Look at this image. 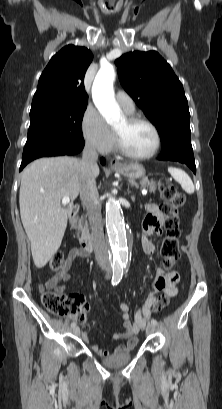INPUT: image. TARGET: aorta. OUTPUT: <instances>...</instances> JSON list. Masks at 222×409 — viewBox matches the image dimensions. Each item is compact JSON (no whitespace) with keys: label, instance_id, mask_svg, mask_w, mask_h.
<instances>
[{"label":"aorta","instance_id":"aorta-1","mask_svg":"<svg viewBox=\"0 0 222 409\" xmlns=\"http://www.w3.org/2000/svg\"><path fill=\"white\" fill-rule=\"evenodd\" d=\"M114 80V68L108 64L100 68L92 85L93 102L110 125L118 123L121 119L120 108L114 98ZM121 212L119 202L109 196L106 203V229L113 265L118 269L126 267L131 255L130 231Z\"/></svg>","mask_w":222,"mask_h":409}]
</instances>
